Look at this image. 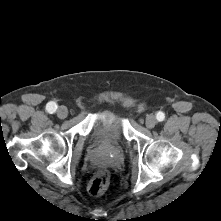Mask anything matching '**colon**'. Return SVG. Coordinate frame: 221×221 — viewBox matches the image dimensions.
I'll list each match as a JSON object with an SVG mask.
<instances>
[{
    "label": "colon",
    "mask_w": 221,
    "mask_h": 221,
    "mask_svg": "<svg viewBox=\"0 0 221 221\" xmlns=\"http://www.w3.org/2000/svg\"><path fill=\"white\" fill-rule=\"evenodd\" d=\"M110 183V175L107 171L98 172L88 186L89 193L99 196L106 192Z\"/></svg>",
    "instance_id": "obj_1"
}]
</instances>
